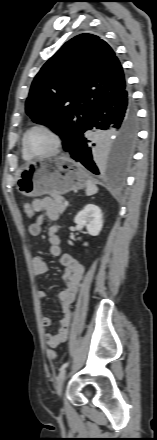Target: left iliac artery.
<instances>
[{
	"label": "left iliac artery",
	"mask_w": 157,
	"mask_h": 440,
	"mask_svg": "<svg viewBox=\"0 0 157 440\" xmlns=\"http://www.w3.org/2000/svg\"><path fill=\"white\" fill-rule=\"evenodd\" d=\"M68 365H69V362L64 363V364L61 366L60 370L65 369Z\"/></svg>",
	"instance_id": "44dca946"
}]
</instances>
